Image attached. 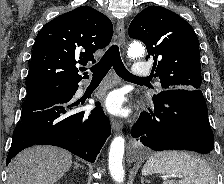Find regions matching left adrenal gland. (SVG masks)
I'll return each instance as SVG.
<instances>
[{
    "instance_id": "left-adrenal-gland-1",
    "label": "left adrenal gland",
    "mask_w": 224,
    "mask_h": 184,
    "mask_svg": "<svg viewBox=\"0 0 224 184\" xmlns=\"http://www.w3.org/2000/svg\"><path fill=\"white\" fill-rule=\"evenodd\" d=\"M144 178L143 177H141V184H144Z\"/></svg>"
}]
</instances>
